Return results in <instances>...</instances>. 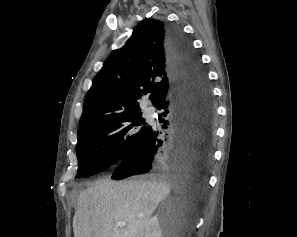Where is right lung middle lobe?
I'll use <instances>...</instances> for the list:
<instances>
[{"mask_svg": "<svg viewBox=\"0 0 297 237\" xmlns=\"http://www.w3.org/2000/svg\"><path fill=\"white\" fill-rule=\"evenodd\" d=\"M151 126L141 112L107 118L78 135L77 177L95 174L133 152L146 138Z\"/></svg>", "mask_w": 297, "mask_h": 237, "instance_id": "obj_1", "label": "right lung middle lobe"}]
</instances>
